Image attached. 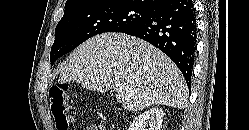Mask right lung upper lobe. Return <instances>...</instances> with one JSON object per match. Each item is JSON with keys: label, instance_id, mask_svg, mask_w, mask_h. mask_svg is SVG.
<instances>
[{"label": "right lung upper lobe", "instance_id": "1", "mask_svg": "<svg viewBox=\"0 0 249 130\" xmlns=\"http://www.w3.org/2000/svg\"><path fill=\"white\" fill-rule=\"evenodd\" d=\"M106 0H67L65 3V11L77 9L83 6H87L93 3L103 2ZM140 5L156 9L158 6L166 2L167 0H131Z\"/></svg>", "mask_w": 249, "mask_h": 130}]
</instances>
